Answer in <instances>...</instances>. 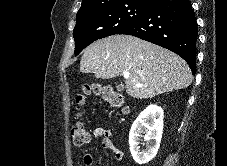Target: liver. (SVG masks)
I'll return each mask as SVG.
<instances>
[{
  "label": "liver",
  "instance_id": "6515ba94",
  "mask_svg": "<svg viewBox=\"0 0 227 166\" xmlns=\"http://www.w3.org/2000/svg\"><path fill=\"white\" fill-rule=\"evenodd\" d=\"M80 71L101 79L128 74L126 92L136 99L184 89L193 79L180 56L131 35H113L89 45L81 57Z\"/></svg>",
  "mask_w": 227,
  "mask_h": 166
}]
</instances>
